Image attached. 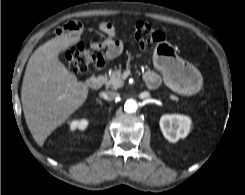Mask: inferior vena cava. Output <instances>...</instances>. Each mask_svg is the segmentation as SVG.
<instances>
[{"label": "inferior vena cava", "mask_w": 245, "mask_h": 195, "mask_svg": "<svg viewBox=\"0 0 245 195\" xmlns=\"http://www.w3.org/2000/svg\"><path fill=\"white\" fill-rule=\"evenodd\" d=\"M100 97L104 98L105 100H114L117 97H119V93L115 92V91H106V92H101Z\"/></svg>", "instance_id": "1"}]
</instances>
